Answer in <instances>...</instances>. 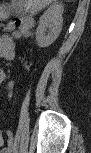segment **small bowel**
<instances>
[{
	"label": "small bowel",
	"mask_w": 91,
	"mask_h": 153,
	"mask_svg": "<svg viewBox=\"0 0 91 153\" xmlns=\"http://www.w3.org/2000/svg\"><path fill=\"white\" fill-rule=\"evenodd\" d=\"M11 24L9 25V28H10ZM10 30H12V34L16 37H20V36H27L29 34V30H13L10 28ZM1 55L4 57V58H10L12 57L13 55V43H11L9 46L7 45H4V46H1ZM5 78V74L3 72L0 73V79L1 80H4ZM7 97L8 98H11L12 97V92H8L7 94ZM6 135H7V138H8V145L6 147H4L2 149V152L3 153H10L12 151V145H13V135H12V132L10 130H7L6 131Z\"/></svg>",
	"instance_id": "c3829d8e"
}]
</instances>
